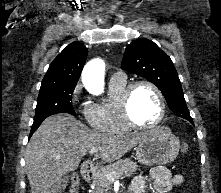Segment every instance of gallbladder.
Segmentation results:
<instances>
[{
	"label": "gallbladder",
	"instance_id": "gallbladder-1",
	"mask_svg": "<svg viewBox=\"0 0 221 193\" xmlns=\"http://www.w3.org/2000/svg\"><path fill=\"white\" fill-rule=\"evenodd\" d=\"M68 180H69V177H68V176L63 177V179L61 180V182H60V184H59L60 193H63L64 189H65L66 186H67Z\"/></svg>",
	"mask_w": 221,
	"mask_h": 193
}]
</instances>
